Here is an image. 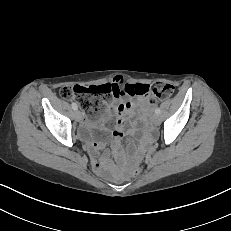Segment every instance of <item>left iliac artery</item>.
Here are the masks:
<instances>
[{
  "mask_svg": "<svg viewBox=\"0 0 231 231\" xmlns=\"http://www.w3.org/2000/svg\"><path fill=\"white\" fill-rule=\"evenodd\" d=\"M155 113H156V114H159V113H160V108H156V109H155Z\"/></svg>",
  "mask_w": 231,
  "mask_h": 231,
  "instance_id": "1",
  "label": "left iliac artery"
}]
</instances>
